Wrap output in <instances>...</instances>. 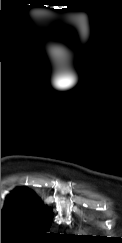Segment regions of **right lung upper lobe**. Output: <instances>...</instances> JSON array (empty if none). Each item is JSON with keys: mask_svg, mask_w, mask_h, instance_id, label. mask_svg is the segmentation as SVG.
<instances>
[{"mask_svg": "<svg viewBox=\"0 0 122 243\" xmlns=\"http://www.w3.org/2000/svg\"><path fill=\"white\" fill-rule=\"evenodd\" d=\"M6 201H16L21 202L35 208H42L41 201L35 196V194L27 188H17L15 189L7 198Z\"/></svg>", "mask_w": 122, "mask_h": 243, "instance_id": "1", "label": "right lung upper lobe"}]
</instances>
